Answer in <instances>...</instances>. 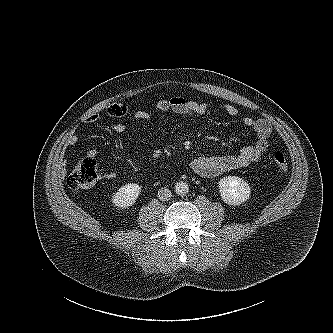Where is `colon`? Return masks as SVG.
I'll return each mask as SVG.
<instances>
[{
    "instance_id": "colon-1",
    "label": "colon",
    "mask_w": 333,
    "mask_h": 333,
    "mask_svg": "<svg viewBox=\"0 0 333 333\" xmlns=\"http://www.w3.org/2000/svg\"><path fill=\"white\" fill-rule=\"evenodd\" d=\"M272 162L279 171H288V163L282 152L276 151L272 156ZM98 179L99 174L96 160L92 157H85L71 171L67 183L74 190L88 189L93 187Z\"/></svg>"
}]
</instances>
